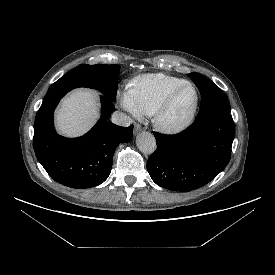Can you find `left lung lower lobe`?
Listing matches in <instances>:
<instances>
[{
    "mask_svg": "<svg viewBox=\"0 0 275 275\" xmlns=\"http://www.w3.org/2000/svg\"><path fill=\"white\" fill-rule=\"evenodd\" d=\"M157 149L147 161L152 180L173 191H191L213 180L229 163L235 136L232 115L196 117L175 135L154 132Z\"/></svg>",
    "mask_w": 275,
    "mask_h": 275,
    "instance_id": "1",
    "label": "left lung lower lobe"
}]
</instances>
